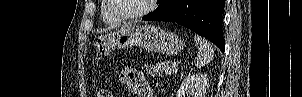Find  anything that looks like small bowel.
<instances>
[{"label": "small bowel", "instance_id": "obj_1", "mask_svg": "<svg viewBox=\"0 0 302 97\" xmlns=\"http://www.w3.org/2000/svg\"><path fill=\"white\" fill-rule=\"evenodd\" d=\"M119 82L138 97H152L148 82L134 67H125L119 75Z\"/></svg>", "mask_w": 302, "mask_h": 97}]
</instances>
